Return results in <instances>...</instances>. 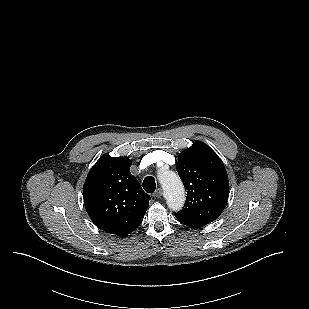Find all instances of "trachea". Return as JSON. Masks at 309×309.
<instances>
[{
  "label": "trachea",
  "mask_w": 309,
  "mask_h": 309,
  "mask_svg": "<svg viewBox=\"0 0 309 309\" xmlns=\"http://www.w3.org/2000/svg\"><path fill=\"white\" fill-rule=\"evenodd\" d=\"M143 188L147 193H153L156 189L155 179L148 176L143 181Z\"/></svg>",
  "instance_id": "3493384b"
}]
</instances>
